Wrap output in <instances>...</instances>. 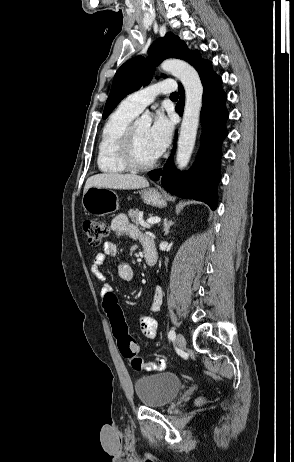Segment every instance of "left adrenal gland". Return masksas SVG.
Wrapping results in <instances>:
<instances>
[{"instance_id": "a2214340", "label": "left adrenal gland", "mask_w": 294, "mask_h": 462, "mask_svg": "<svg viewBox=\"0 0 294 462\" xmlns=\"http://www.w3.org/2000/svg\"><path fill=\"white\" fill-rule=\"evenodd\" d=\"M174 224L172 221H168L167 219L164 220V235H167L169 233L170 227Z\"/></svg>"}]
</instances>
